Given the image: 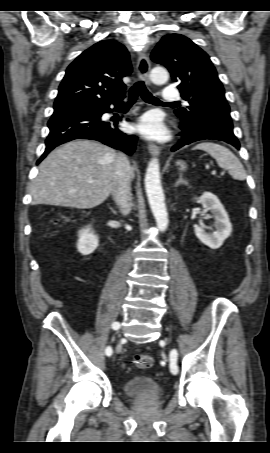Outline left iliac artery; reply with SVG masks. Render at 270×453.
I'll list each match as a JSON object with an SVG mask.
<instances>
[{
  "label": "left iliac artery",
  "mask_w": 270,
  "mask_h": 453,
  "mask_svg": "<svg viewBox=\"0 0 270 453\" xmlns=\"http://www.w3.org/2000/svg\"><path fill=\"white\" fill-rule=\"evenodd\" d=\"M177 356V351L175 349L172 350L170 353V370L174 375L178 373Z\"/></svg>",
  "instance_id": "left-iliac-artery-1"
}]
</instances>
